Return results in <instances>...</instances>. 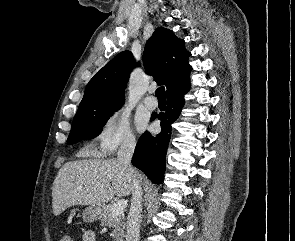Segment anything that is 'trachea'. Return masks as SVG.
I'll return each instance as SVG.
<instances>
[{"label":"trachea","instance_id":"3493384b","mask_svg":"<svg viewBox=\"0 0 295 241\" xmlns=\"http://www.w3.org/2000/svg\"><path fill=\"white\" fill-rule=\"evenodd\" d=\"M156 97L158 98V100H166V92L164 87H159L156 90Z\"/></svg>","mask_w":295,"mask_h":241}]
</instances>
